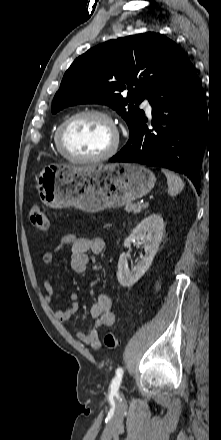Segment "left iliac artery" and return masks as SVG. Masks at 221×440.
<instances>
[{"mask_svg":"<svg viewBox=\"0 0 221 440\" xmlns=\"http://www.w3.org/2000/svg\"><path fill=\"white\" fill-rule=\"evenodd\" d=\"M123 373H124V371H123V368H121V367H119L116 370V375L113 378L111 386H110L111 387V393L116 394L118 392V389H119V386H120V383H121V380H122V377H123Z\"/></svg>","mask_w":221,"mask_h":440,"instance_id":"1","label":"left iliac artery"}]
</instances>
